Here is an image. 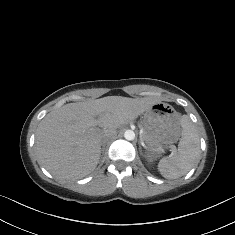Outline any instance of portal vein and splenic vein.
<instances>
[{
	"label": "portal vein and splenic vein",
	"mask_w": 235,
	"mask_h": 235,
	"mask_svg": "<svg viewBox=\"0 0 235 235\" xmlns=\"http://www.w3.org/2000/svg\"><path fill=\"white\" fill-rule=\"evenodd\" d=\"M96 125L100 126V122L95 120L93 123H91V126H96Z\"/></svg>",
	"instance_id": "portal-vein-and-splenic-vein-1"
}]
</instances>
